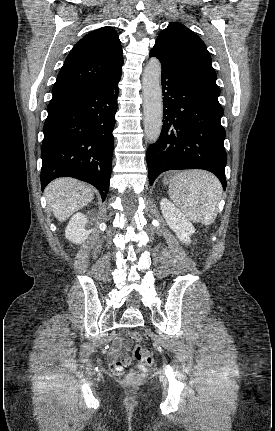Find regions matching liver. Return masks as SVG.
I'll return each mask as SVG.
<instances>
[{"instance_id":"1","label":"liver","mask_w":275,"mask_h":431,"mask_svg":"<svg viewBox=\"0 0 275 431\" xmlns=\"http://www.w3.org/2000/svg\"><path fill=\"white\" fill-rule=\"evenodd\" d=\"M48 206L54 216L64 222L74 212L88 205L94 198L92 188L73 178H59L45 189Z\"/></svg>"}]
</instances>
